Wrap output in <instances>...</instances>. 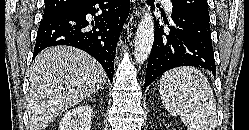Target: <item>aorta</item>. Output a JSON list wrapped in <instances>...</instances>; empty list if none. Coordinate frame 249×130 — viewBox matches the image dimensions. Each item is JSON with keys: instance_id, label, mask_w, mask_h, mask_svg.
I'll list each match as a JSON object with an SVG mask.
<instances>
[{"instance_id": "762f6f07", "label": "aorta", "mask_w": 249, "mask_h": 130, "mask_svg": "<svg viewBox=\"0 0 249 130\" xmlns=\"http://www.w3.org/2000/svg\"><path fill=\"white\" fill-rule=\"evenodd\" d=\"M149 11L148 7L138 25L135 36L134 56L138 64L147 60L154 41V21Z\"/></svg>"}]
</instances>
